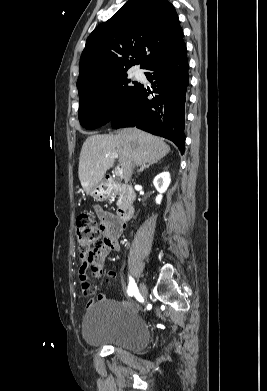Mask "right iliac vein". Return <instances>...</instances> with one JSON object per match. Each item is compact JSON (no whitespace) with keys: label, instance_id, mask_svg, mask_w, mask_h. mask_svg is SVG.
Wrapping results in <instances>:
<instances>
[{"label":"right iliac vein","instance_id":"63e3f726","mask_svg":"<svg viewBox=\"0 0 267 391\" xmlns=\"http://www.w3.org/2000/svg\"><path fill=\"white\" fill-rule=\"evenodd\" d=\"M140 295L142 298H146L147 296V286L144 282L140 284V289H139Z\"/></svg>","mask_w":267,"mask_h":391}]
</instances>
